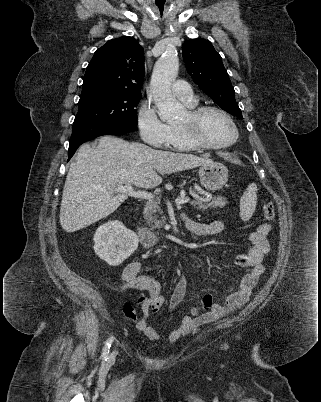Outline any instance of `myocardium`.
I'll return each instance as SVG.
<instances>
[{"instance_id": "f54148a6", "label": "myocardium", "mask_w": 321, "mask_h": 402, "mask_svg": "<svg viewBox=\"0 0 321 402\" xmlns=\"http://www.w3.org/2000/svg\"><path fill=\"white\" fill-rule=\"evenodd\" d=\"M210 111L221 114L230 123L234 132V136L230 141L222 144H212L202 138V136L199 133V121L205 113ZM178 126L185 135V137L193 145L201 149H207V150L225 149L234 145L239 138V130L232 116L224 109L214 105H205L190 108L187 111L186 120L179 123Z\"/></svg>"}]
</instances>
